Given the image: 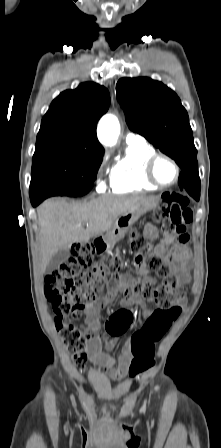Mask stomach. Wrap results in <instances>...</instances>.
I'll use <instances>...</instances> for the list:
<instances>
[{
    "label": "stomach",
    "mask_w": 221,
    "mask_h": 448,
    "mask_svg": "<svg viewBox=\"0 0 221 448\" xmlns=\"http://www.w3.org/2000/svg\"><path fill=\"white\" fill-rule=\"evenodd\" d=\"M159 203L157 197L151 198L146 203L141 204L137 209L127 212L120 216L111 229H109L106 235L103 237L104 241L108 245H114L117 241L121 240L129 228L145 213L154 209Z\"/></svg>",
    "instance_id": "stomach-1"
}]
</instances>
